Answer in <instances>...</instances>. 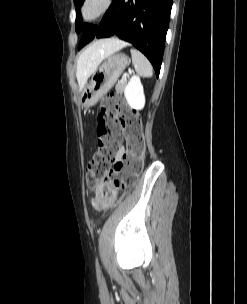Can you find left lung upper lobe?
Instances as JSON below:
<instances>
[{
    "label": "left lung upper lobe",
    "instance_id": "1",
    "mask_svg": "<svg viewBox=\"0 0 247 304\" xmlns=\"http://www.w3.org/2000/svg\"><path fill=\"white\" fill-rule=\"evenodd\" d=\"M84 0H74V4L77 7V13H76V32H80L81 30H85L89 24H83V20H82V16L78 10V8L81 7V5L83 4Z\"/></svg>",
    "mask_w": 247,
    "mask_h": 304
}]
</instances>
